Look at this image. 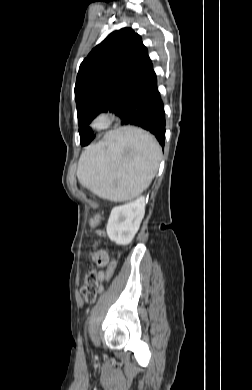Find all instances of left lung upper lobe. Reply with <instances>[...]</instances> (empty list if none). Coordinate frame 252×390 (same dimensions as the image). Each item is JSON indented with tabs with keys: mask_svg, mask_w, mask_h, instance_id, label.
Listing matches in <instances>:
<instances>
[{
	"mask_svg": "<svg viewBox=\"0 0 252 390\" xmlns=\"http://www.w3.org/2000/svg\"><path fill=\"white\" fill-rule=\"evenodd\" d=\"M154 72L147 48L131 28L109 34L80 65L75 99L80 138L100 112L119 115L129 98Z\"/></svg>",
	"mask_w": 252,
	"mask_h": 390,
	"instance_id": "left-lung-upper-lobe-1",
	"label": "left lung upper lobe"
}]
</instances>
